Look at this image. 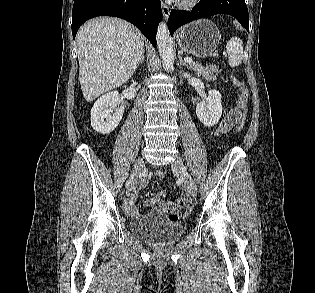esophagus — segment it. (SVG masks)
Returning <instances> with one entry per match:
<instances>
[{
	"label": "esophagus",
	"instance_id": "34e87169",
	"mask_svg": "<svg viewBox=\"0 0 315 293\" xmlns=\"http://www.w3.org/2000/svg\"><path fill=\"white\" fill-rule=\"evenodd\" d=\"M162 12L164 18L167 20L170 15V8L165 3H162Z\"/></svg>",
	"mask_w": 315,
	"mask_h": 293
}]
</instances>
